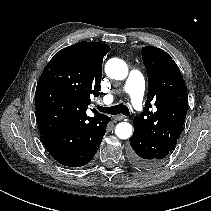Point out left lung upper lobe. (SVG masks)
<instances>
[{"label":"left lung upper lobe","instance_id":"5c2ea615","mask_svg":"<svg viewBox=\"0 0 211 211\" xmlns=\"http://www.w3.org/2000/svg\"><path fill=\"white\" fill-rule=\"evenodd\" d=\"M142 59L148 76V94L144 111L134 117L133 125L172 151L188 110L187 87L176 63L165 51L152 46L143 47Z\"/></svg>","mask_w":211,"mask_h":211}]
</instances>
